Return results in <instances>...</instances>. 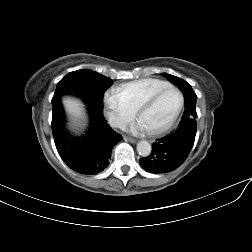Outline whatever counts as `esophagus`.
Listing matches in <instances>:
<instances>
[{
    "instance_id": "1",
    "label": "esophagus",
    "mask_w": 252,
    "mask_h": 252,
    "mask_svg": "<svg viewBox=\"0 0 252 252\" xmlns=\"http://www.w3.org/2000/svg\"><path fill=\"white\" fill-rule=\"evenodd\" d=\"M125 140L129 141L130 143H136L137 140L134 138L126 137Z\"/></svg>"
}]
</instances>
